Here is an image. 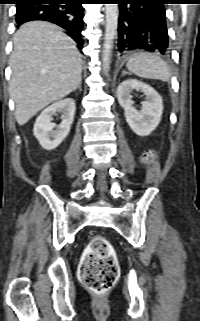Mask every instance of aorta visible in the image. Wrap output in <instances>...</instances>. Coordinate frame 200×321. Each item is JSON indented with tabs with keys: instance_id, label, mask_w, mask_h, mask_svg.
<instances>
[{
	"instance_id": "obj_1",
	"label": "aorta",
	"mask_w": 200,
	"mask_h": 321,
	"mask_svg": "<svg viewBox=\"0 0 200 321\" xmlns=\"http://www.w3.org/2000/svg\"><path fill=\"white\" fill-rule=\"evenodd\" d=\"M106 27L104 35V44L102 52L103 71L105 73L109 70L111 51L113 48V41L116 37L118 26L119 9L118 4H105Z\"/></svg>"
}]
</instances>
